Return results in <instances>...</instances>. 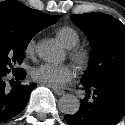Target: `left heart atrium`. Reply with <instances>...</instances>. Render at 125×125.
Masks as SVG:
<instances>
[{"instance_id": "39dd6f15", "label": "left heart atrium", "mask_w": 125, "mask_h": 125, "mask_svg": "<svg viewBox=\"0 0 125 125\" xmlns=\"http://www.w3.org/2000/svg\"><path fill=\"white\" fill-rule=\"evenodd\" d=\"M32 78L49 87L59 88L74 77V68L70 64L44 63L32 70Z\"/></svg>"}]
</instances>
